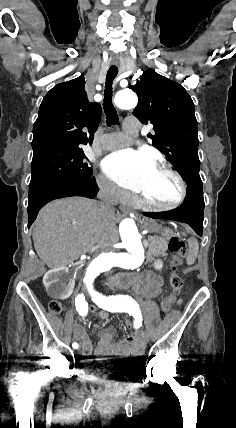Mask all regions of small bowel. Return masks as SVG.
<instances>
[{
  "mask_svg": "<svg viewBox=\"0 0 236 428\" xmlns=\"http://www.w3.org/2000/svg\"><path fill=\"white\" fill-rule=\"evenodd\" d=\"M162 284L163 281L161 276L153 272H147L142 275L134 285V290L136 292L143 293L150 298H157L162 294ZM108 316V312H100V317L102 319H107ZM74 334L83 345V353L81 355L82 361L87 365L93 364V345L86 330L82 325H76L74 328ZM114 334L115 328L112 326L104 327L100 330V341L94 350L96 357L104 358L116 356L121 358L137 359L142 355L145 345L142 333L128 336L116 344L112 342Z\"/></svg>",
  "mask_w": 236,
  "mask_h": 428,
  "instance_id": "1",
  "label": "small bowel"
}]
</instances>
